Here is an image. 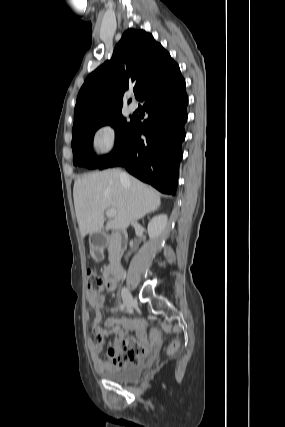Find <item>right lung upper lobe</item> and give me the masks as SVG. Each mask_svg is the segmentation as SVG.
Segmentation results:
<instances>
[{"instance_id":"cb5924a9","label":"right lung upper lobe","mask_w":285,"mask_h":427,"mask_svg":"<svg viewBox=\"0 0 285 427\" xmlns=\"http://www.w3.org/2000/svg\"><path fill=\"white\" fill-rule=\"evenodd\" d=\"M178 65L169 53L144 30L128 29L116 45L112 59L85 80L74 111L73 130L121 111L122 95L129 84L143 92Z\"/></svg>"}]
</instances>
